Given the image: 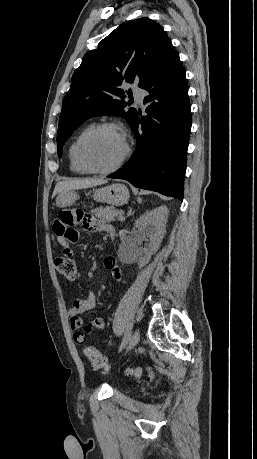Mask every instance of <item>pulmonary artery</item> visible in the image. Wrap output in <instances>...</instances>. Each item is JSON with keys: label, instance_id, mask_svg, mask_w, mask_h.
<instances>
[{"label": "pulmonary artery", "instance_id": "e3ab8cb5", "mask_svg": "<svg viewBox=\"0 0 257 459\" xmlns=\"http://www.w3.org/2000/svg\"><path fill=\"white\" fill-rule=\"evenodd\" d=\"M145 95H146V93L142 89H135L134 90L135 99L139 104H142V102H143V100L145 98Z\"/></svg>", "mask_w": 257, "mask_h": 459}]
</instances>
